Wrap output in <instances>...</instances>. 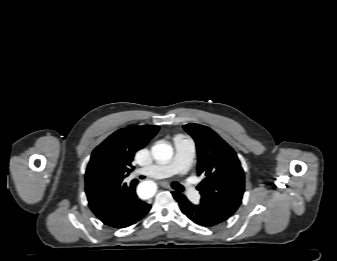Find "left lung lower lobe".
<instances>
[{
	"instance_id": "obj_1",
	"label": "left lung lower lobe",
	"mask_w": 337,
	"mask_h": 261,
	"mask_svg": "<svg viewBox=\"0 0 337 261\" xmlns=\"http://www.w3.org/2000/svg\"><path fill=\"white\" fill-rule=\"evenodd\" d=\"M172 194L179 203L182 213L194 223L204 227H214L226 221V219L208 208L191 204L184 195L177 192H173Z\"/></svg>"
}]
</instances>
